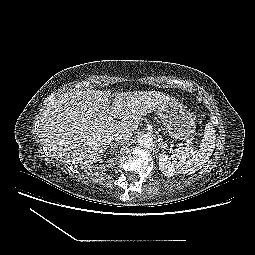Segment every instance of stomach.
<instances>
[{
    "mask_svg": "<svg viewBox=\"0 0 255 255\" xmlns=\"http://www.w3.org/2000/svg\"><path fill=\"white\" fill-rule=\"evenodd\" d=\"M163 126L174 139L186 140L195 133V115L176 100H170L156 110Z\"/></svg>",
    "mask_w": 255,
    "mask_h": 255,
    "instance_id": "obj_1",
    "label": "stomach"
}]
</instances>
